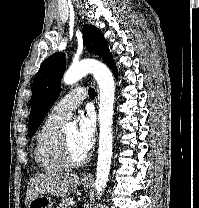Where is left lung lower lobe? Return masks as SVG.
Here are the masks:
<instances>
[{"label":"left lung lower lobe","instance_id":"obj_1","mask_svg":"<svg viewBox=\"0 0 199 208\" xmlns=\"http://www.w3.org/2000/svg\"><path fill=\"white\" fill-rule=\"evenodd\" d=\"M110 68H111L113 74L115 75V77L117 78L118 77V71H117L116 65L113 64Z\"/></svg>","mask_w":199,"mask_h":208}]
</instances>
